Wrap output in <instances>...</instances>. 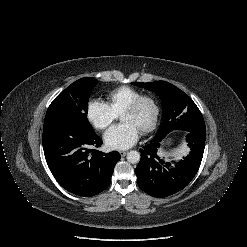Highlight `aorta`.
I'll return each instance as SVG.
<instances>
[{
    "instance_id": "1",
    "label": "aorta",
    "mask_w": 247,
    "mask_h": 247,
    "mask_svg": "<svg viewBox=\"0 0 247 247\" xmlns=\"http://www.w3.org/2000/svg\"><path fill=\"white\" fill-rule=\"evenodd\" d=\"M127 161L131 164L138 163L140 160V153L137 151H130L127 154Z\"/></svg>"
}]
</instances>
